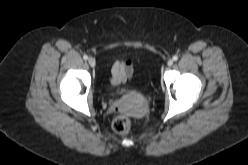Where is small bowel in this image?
Here are the masks:
<instances>
[{
  "mask_svg": "<svg viewBox=\"0 0 248 165\" xmlns=\"http://www.w3.org/2000/svg\"><path fill=\"white\" fill-rule=\"evenodd\" d=\"M133 75V65L131 60H117L111 68L110 85L112 87H120L126 84Z\"/></svg>",
  "mask_w": 248,
  "mask_h": 165,
  "instance_id": "c3829d8e",
  "label": "small bowel"
}]
</instances>
